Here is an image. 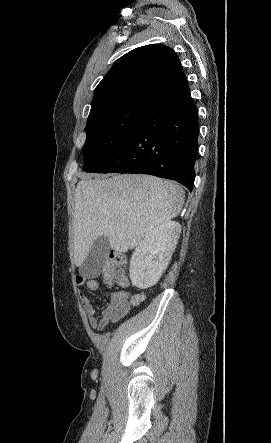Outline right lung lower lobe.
<instances>
[{"instance_id":"1","label":"right lung lower lobe","mask_w":271,"mask_h":443,"mask_svg":"<svg viewBox=\"0 0 271 443\" xmlns=\"http://www.w3.org/2000/svg\"><path fill=\"white\" fill-rule=\"evenodd\" d=\"M198 111L189 89L153 102L110 158L93 173H142L175 180L190 191L198 153Z\"/></svg>"}]
</instances>
